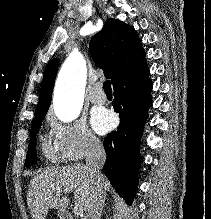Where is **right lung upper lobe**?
Returning a JSON list of instances; mask_svg holds the SVG:
<instances>
[{"instance_id":"cb5924a9","label":"right lung upper lobe","mask_w":211,"mask_h":219,"mask_svg":"<svg viewBox=\"0 0 211 219\" xmlns=\"http://www.w3.org/2000/svg\"><path fill=\"white\" fill-rule=\"evenodd\" d=\"M89 49L95 64L112 83L145 60L135 29L113 18L107 19L103 29L92 37ZM57 70L58 60L53 59L44 72L35 116L46 114L49 109Z\"/></svg>"}]
</instances>
